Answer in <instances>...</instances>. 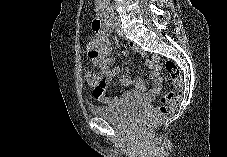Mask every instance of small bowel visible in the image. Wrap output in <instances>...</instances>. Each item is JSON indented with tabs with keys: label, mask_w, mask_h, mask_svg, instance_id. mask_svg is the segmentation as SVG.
Listing matches in <instances>:
<instances>
[{
	"label": "small bowel",
	"mask_w": 227,
	"mask_h": 157,
	"mask_svg": "<svg viewBox=\"0 0 227 157\" xmlns=\"http://www.w3.org/2000/svg\"><path fill=\"white\" fill-rule=\"evenodd\" d=\"M130 46L137 49V45L131 43ZM87 53L91 58L92 64L97 67L102 76L99 86L93 88V97L100 103L108 104L111 107H121L133 101H147L153 99L160 91L161 77L157 69V57L153 56L147 61L151 69L150 77L153 82L151 89L145 92L144 84L140 79L132 78L128 73L119 77L122 85L132 87V92H126L121 96L107 95V88L111 80L117 76L113 68V60L108 58L110 44L105 34L101 33L92 39L87 45Z\"/></svg>",
	"instance_id": "small-bowel-1"
}]
</instances>
